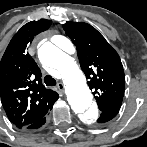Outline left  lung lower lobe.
Segmentation results:
<instances>
[{
  "label": "left lung lower lobe",
  "mask_w": 147,
  "mask_h": 147,
  "mask_svg": "<svg viewBox=\"0 0 147 147\" xmlns=\"http://www.w3.org/2000/svg\"><path fill=\"white\" fill-rule=\"evenodd\" d=\"M119 110L114 109V110H108V111H102L100 114L99 119L97 120L98 123H105L113 119Z\"/></svg>",
  "instance_id": "0a47b994"
}]
</instances>
